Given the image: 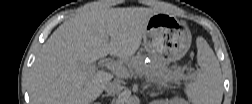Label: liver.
<instances>
[{
  "label": "liver",
  "instance_id": "6515ba94",
  "mask_svg": "<svg viewBox=\"0 0 252 104\" xmlns=\"http://www.w3.org/2000/svg\"><path fill=\"white\" fill-rule=\"evenodd\" d=\"M157 10L94 6L61 24L43 44L31 67L29 94L37 104H88L113 75L93 64L110 54L129 59L140 47Z\"/></svg>",
  "mask_w": 252,
  "mask_h": 104
}]
</instances>
